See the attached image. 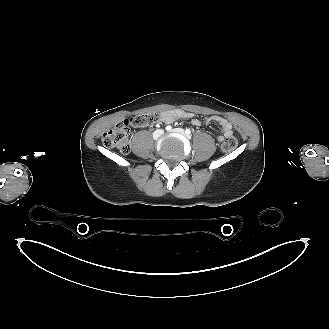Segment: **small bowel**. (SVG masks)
Segmentation results:
<instances>
[{
	"label": "small bowel",
	"mask_w": 329,
	"mask_h": 329,
	"mask_svg": "<svg viewBox=\"0 0 329 329\" xmlns=\"http://www.w3.org/2000/svg\"><path fill=\"white\" fill-rule=\"evenodd\" d=\"M177 120H190L193 125L200 126L202 124H209L211 122H217L222 128L223 135L218 137V141L222 142L224 138L233 135L232 124L224 117L221 116H207L203 120H199L193 117V114L183 109H173L163 111L160 114V121L165 124H171Z\"/></svg>",
	"instance_id": "obj_1"
}]
</instances>
